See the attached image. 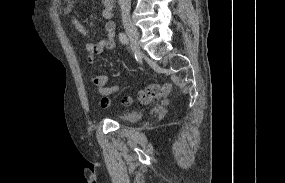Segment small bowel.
<instances>
[{
	"instance_id": "1",
	"label": "small bowel",
	"mask_w": 285,
	"mask_h": 183,
	"mask_svg": "<svg viewBox=\"0 0 285 183\" xmlns=\"http://www.w3.org/2000/svg\"><path fill=\"white\" fill-rule=\"evenodd\" d=\"M63 7V12L71 17L73 27L84 36L90 35L91 31L85 28L82 23L73 15V4L70 0ZM114 13L113 0H102V17L106 20L104 25L105 37L97 42H87L84 47V53L88 62H92L94 57L101 54L104 50H112L116 47L115 43V23L111 20ZM107 75L105 73H94L91 75V82L97 88L101 95L100 105L107 107L110 105V96L118 92V86H106ZM172 90V84L165 83L162 85L153 84L139 92V99L143 102L153 98H162L166 101V97ZM123 98V103L124 99ZM131 98V97H130ZM127 105V104H125Z\"/></svg>"
}]
</instances>
